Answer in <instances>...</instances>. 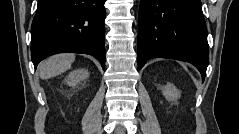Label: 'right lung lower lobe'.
Listing matches in <instances>:
<instances>
[{
  "label": "right lung lower lobe",
  "mask_w": 239,
  "mask_h": 134,
  "mask_svg": "<svg viewBox=\"0 0 239 134\" xmlns=\"http://www.w3.org/2000/svg\"><path fill=\"white\" fill-rule=\"evenodd\" d=\"M106 0H38L31 27L34 66L62 52L95 56L105 69Z\"/></svg>",
  "instance_id": "1"
}]
</instances>
